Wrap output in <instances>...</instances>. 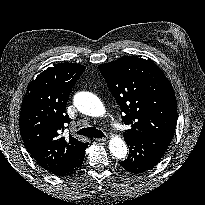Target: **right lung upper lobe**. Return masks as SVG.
<instances>
[{
    "mask_svg": "<svg viewBox=\"0 0 205 205\" xmlns=\"http://www.w3.org/2000/svg\"><path fill=\"white\" fill-rule=\"evenodd\" d=\"M85 68L76 63L49 67L29 84L22 101L19 125L24 145L52 173L88 146L72 136L60 137L70 120L65 114L70 91Z\"/></svg>",
    "mask_w": 205,
    "mask_h": 205,
    "instance_id": "cb5924a9",
    "label": "right lung upper lobe"
}]
</instances>
